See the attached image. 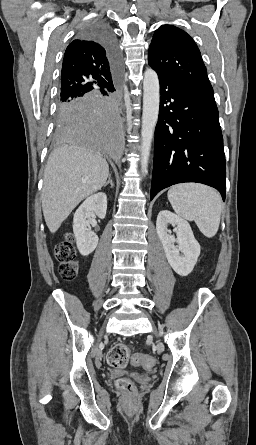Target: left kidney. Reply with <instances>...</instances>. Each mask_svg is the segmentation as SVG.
<instances>
[{
    "instance_id": "left-kidney-1",
    "label": "left kidney",
    "mask_w": 256,
    "mask_h": 445,
    "mask_svg": "<svg viewBox=\"0 0 256 445\" xmlns=\"http://www.w3.org/2000/svg\"><path fill=\"white\" fill-rule=\"evenodd\" d=\"M169 224L174 227L176 237L168 229ZM156 231L173 270L180 276L190 274L200 255V245L189 223L168 210H162L157 216Z\"/></svg>"
}]
</instances>
